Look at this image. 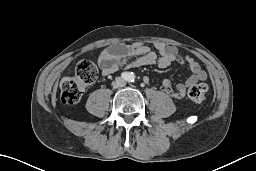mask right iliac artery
<instances>
[{"instance_id": "obj_1", "label": "right iliac artery", "mask_w": 256, "mask_h": 171, "mask_svg": "<svg viewBox=\"0 0 256 171\" xmlns=\"http://www.w3.org/2000/svg\"><path fill=\"white\" fill-rule=\"evenodd\" d=\"M121 76L122 78L127 79L129 77V74L127 72H123Z\"/></svg>"}]
</instances>
